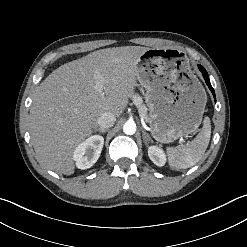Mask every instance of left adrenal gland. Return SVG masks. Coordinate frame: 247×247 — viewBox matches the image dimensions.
Listing matches in <instances>:
<instances>
[{
  "instance_id": "left-adrenal-gland-1",
  "label": "left adrenal gland",
  "mask_w": 247,
  "mask_h": 247,
  "mask_svg": "<svg viewBox=\"0 0 247 247\" xmlns=\"http://www.w3.org/2000/svg\"><path fill=\"white\" fill-rule=\"evenodd\" d=\"M143 132V140L145 145H147V142L150 141V136L148 135V133L145 132V130L142 131Z\"/></svg>"
}]
</instances>
